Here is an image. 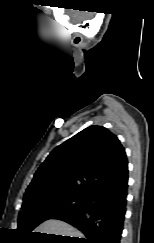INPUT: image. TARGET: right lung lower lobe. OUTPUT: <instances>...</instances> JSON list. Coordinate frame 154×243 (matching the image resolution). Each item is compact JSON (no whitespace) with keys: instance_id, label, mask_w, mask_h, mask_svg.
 <instances>
[{"instance_id":"obj_1","label":"right lung lower lobe","mask_w":154,"mask_h":243,"mask_svg":"<svg viewBox=\"0 0 154 243\" xmlns=\"http://www.w3.org/2000/svg\"><path fill=\"white\" fill-rule=\"evenodd\" d=\"M128 167L97 186L85 204L55 217L78 228L85 238L74 243H120L126 212Z\"/></svg>"}]
</instances>
